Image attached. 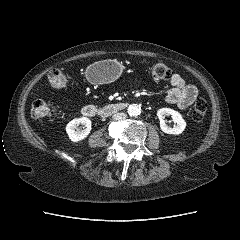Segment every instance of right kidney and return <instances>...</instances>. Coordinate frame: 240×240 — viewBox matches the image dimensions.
<instances>
[{"label":"right kidney","instance_id":"right-kidney-1","mask_svg":"<svg viewBox=\"0 0 240 240\" xmlns=\"http://www.w3.org/2000/svg\"><path fill=\"white\" fill-rule=\"evenodd\" d=\"M84 125L83 130L77 129L78 125ZM91 131V120L87 117L73 119L66 126V132L72 142H78L85 139Z\"/></svg>","mask_w":240,"mask_h":240}]
</instances>
